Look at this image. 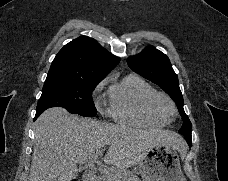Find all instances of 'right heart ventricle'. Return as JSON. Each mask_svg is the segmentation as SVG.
<instances>
[{
  "mask_svg": "<svg viewBox=\"0 0 228 181\" xmlns=\"http://www.w3.org/2000/svg\"><path fill=\"white\" fill-rule=\"evenodd\" d=\"M106 84H109L110 113L117 122L151 127H161L167 122L166 115L156 114L151 109V103L159 93L141 77L113 72L100 86Z\"/></svg>",
  "mask_w": 228,
  "mask_h": 181,
  "instance_id": "e07e8e85",
  "label": "right heart ventricle"
}]
</instances>
